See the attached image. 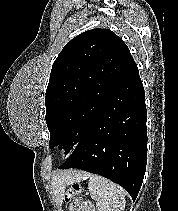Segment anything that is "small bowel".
<instances>
[{
	"instance_id": "obj_1",
	"label": "small bowel",
	"mask_w": 178,
	"mask_h": 211,
	"mask_svg": "<svg viewBox=\"0 0 178 211\" xmlns=\"http://www.w3.org/2000/svg\"><path fill=\"white\" fill-rule=\"evenodd\" d=\"M80 211H94V208L87 202H84L80 208Z\"/></svg>"
}]
</instances>
